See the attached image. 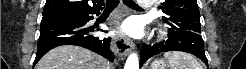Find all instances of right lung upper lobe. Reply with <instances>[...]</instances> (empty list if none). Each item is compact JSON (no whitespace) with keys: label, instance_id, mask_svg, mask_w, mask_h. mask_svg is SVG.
<instances>
[{"label":"right lung upper lobe","instance_id":"1","mask_svg":"<svg viewBox=\"0 0 246 69\" xmlns=\"http://www.w3.org/2000/svg\"><path fill=\"white\" fill-rule=\"evenodd\" d=\"M103 0H46L43 16L57 12L102 10Z\"/></svg>","mask_w":246,"mask_h":69}]
</instances>
